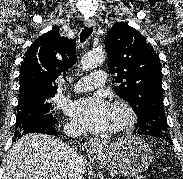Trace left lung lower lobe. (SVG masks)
<instances>
[{
    "mask_svg": "<svg viewBox=\"0 0 183 179\" xmlns=\"http://www.w3.org/2000/svg\"><path fill=\"white\" fill-rule=\"evenodd\" d=\"M162 139H165L166 141L171 142L170 137H164V138H162ZM171 144H173V143L171 142Z\"/></svg>",
    "mask_w": 183,
    "mask_h": 179,
    "instance_id": "left-lung-lower-lobe-1",
    "label": "left lung lower lobe"
}]
</instances>
